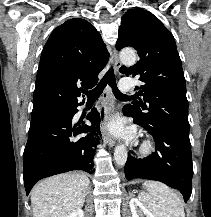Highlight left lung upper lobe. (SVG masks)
Listing matches in <instances>:
<instances>
[{"label":"left lung upper lobe","instance_id":"5c2ea615","mask_svg":"<svg viewBox=\"0 0 211 217\" xmlns=\"http://www.w3.org/2000/svg\"><path fill=\"white\" fill-rule=\"evenodd\" d=\"M133 47L139 61L121 67L126 76H139L143 99L126 108L141 126H164L189 135L186 82L171 32L152 13L128 10L121 18L116 49Z\"/></svg>","mask_w":211,"mask_h":217}]
</instances>
